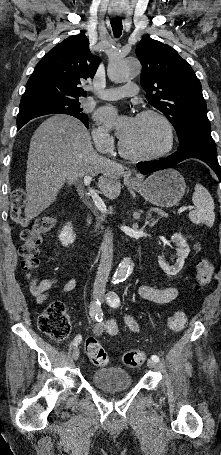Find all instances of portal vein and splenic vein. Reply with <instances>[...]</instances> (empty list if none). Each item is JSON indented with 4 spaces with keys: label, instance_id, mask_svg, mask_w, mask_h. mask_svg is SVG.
<instances>
[{
    "label": "portal vein and splenic vein",
    "instance_id": "18ae733b",
    "mask_svg": "<svg viewBox=\"0 0 221 455\" xmlns=\"http://www.w3.org/2000/svg\"><path fill=\"white\" fill-rule=\"evenodd\" d=\"M92 181V177L89 176V175H86L84 176V185L87 186L89 188V194L96 206V208L101 212V213H104L106 214L107 213V208H106V205L105 203L103 202V200L100 198V196L98 195V193L93 190L92 188H90V183ZM187 209H192L191 207H187V206H182L179 210H178V213H181V212H184L185 210Z\"/></svg>",
    "mask_w": 221,
    "mask_h": 455
}]
</instances>
